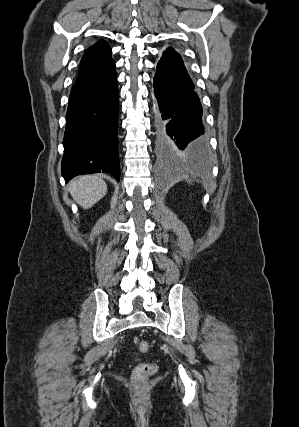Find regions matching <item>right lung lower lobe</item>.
Listing matches in <instances>:
<instances>
[{
    "label": "right lung lower lobe",
    "instance_id": "obj_1",
    "mask_svg": "<svg viewBox=\"0 0 299 427\" xmlns=\"http://www.w3.org/2000/svg\"><path fill=\"white\" fill-rule=\"evenodd\" d=\"M118 89L115 70L99 80L75 84L69 97L62 175L107 172L120 178Z\"/></svg>",
    "mask_w": 299,
    "mask_h": 427
}]
</instances>
